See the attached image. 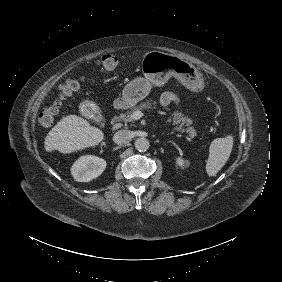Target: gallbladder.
Here are the masks:
<instances>
[{
	"label": "gallbladder",
	"instance_id": "1",
	"mask_svg": "<svg viewBox=\"0 0 282 282\" xmlns=\"http://www.w3.org/2000/svg\"><path fill=\"white\" fill-rule=\"evenodd\" d=\"M87 104V101H84V102H82L81 104H80V106H84V105H86Z\"/></svg>",
	"mask_w": 282,
	"mask_h": 282
}]
</instances>
